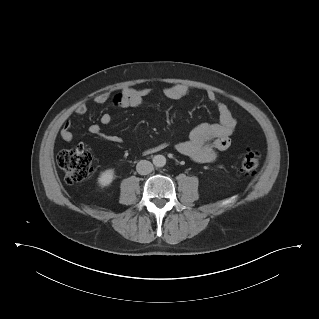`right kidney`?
Returning <instances> with one entry per match:
<instances>
[{
	"instance_id": "obj_1",
	"label": "right kidney",
	"mask_w": 319,
	"mask_h": 319,
	"mask_svg": "<svg viewBox=\"0 0 319 319\" xmlns=\"http://www.w3.org/2000/svg\"><path fill=\"white\" fill-rule=\"evenodd\" d=\"M113 179H114V170L107 169L100 174L98 178V183L102 187L108 186L112 183Z\"/></svg>"
}]
</instances>
